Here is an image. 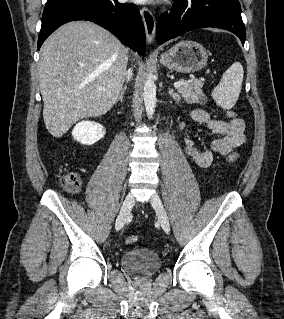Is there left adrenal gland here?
I'll list each match as a JSON object with an SVG mask.
<instances>
[{"label": "left adrenal gland", "instance_id": "obj_1", "mask_svg": "<svg viewBox=\"0 0 284 319\" xmlns=\"http://www.w3.org/2000/svg\"><path fill=\"white\" fill-rule=\"evenodd\" d=\"M169 91V95L172 97V99L174 101H176V103H180L181 101V96L179 95V93L175 92L172 88H168Z\"/></svg>", "mask_w": 284, "mask_h": 319}]
</instances>
